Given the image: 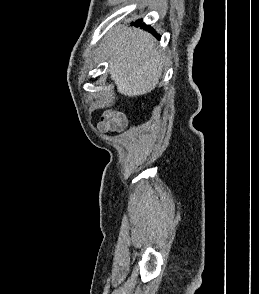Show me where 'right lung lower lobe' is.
<instances>
[{
  "label": "right lung lower lobe",
  "instance_id": "98d812e1",
  "mask_svg": "<svg viewBox=\"0 0 259 294\" xmlns=\"http://www.w3.org/2000/svg\"><path fill=\"white\" fill-rule=\"evenodd\" d=\"M136 24L138 25V26H140L141 24H142V20H137L136 21ZM142 26L146 29V30H149L150 32H153V29H149L150 27L149 26H146L145 24H142ZM158 36V35H157ZM158 38H159V36H158Z\"/></svg>",
  "mask_w": 259,
  "mask_h": 294
}]
</instances>
